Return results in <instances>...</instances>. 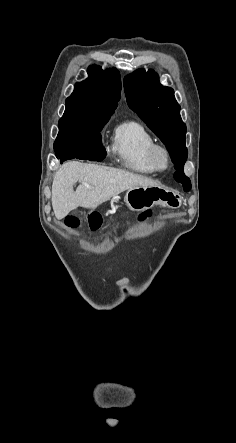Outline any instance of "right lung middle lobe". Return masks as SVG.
<instances>
[{
    "mask_svg": "<svg viewBox=\"0 0 236 443\" xmlns=\"http://www.w3.org/2000/svg\"><path fill=\"white\" fill-rule=\"evenodd\" d=\"M110 116L109 114L64 112L59 120V133L54 142L55 152L66 147L82 145L101 146L100 131Z\"/></svg>",
    "mask_w": 236,
    "mask_h": 443,
    "instance_id": "1",
    "label": "right lung middle lobe"
}]
</instances>
